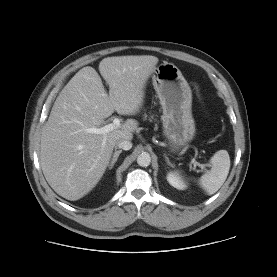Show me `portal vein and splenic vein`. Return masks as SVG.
<instances>
[{"mask_svg": "<svg viewBox=\"0 0 277 277\" xmlns=\"http://www.w3.org/2000/svg\"><path fill=\"white\" fill-rule=\"evenodd\" d=\"M119 126H120V119L114 118L112 123H110V124H107L101 128H88V129H86V131L88 133H94V134H106V133L118 128ZM192 163L195 166L200 167L202 170L207 171V169H206V167L208 166L207 164H200L195 159H192Z\"/></svg>", "mask_w": 277, "mask_h": 277, "instance_id": "18ae733b", "label": "portal vein and splenic vein"}]
</instances>
